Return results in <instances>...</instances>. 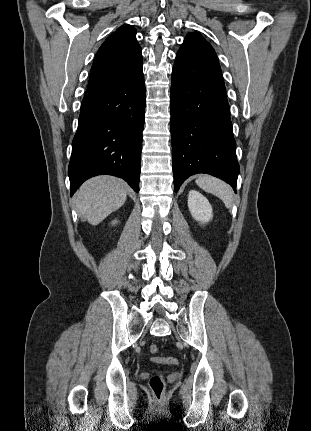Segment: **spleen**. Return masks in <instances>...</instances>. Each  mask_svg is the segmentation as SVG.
Returning a JSON list of instances; mask_svg holds the SVG:
<instances>
[{"mask_svg": "<svg viewBox=\"0 0 311 431\" xmlns=\"http://www.w3.org/2000/svg\"><path fill=\"white\" fill-rule=\"evenodd\" d=\"M197 186L208 192V194H214L218 196L222 202H224L226 208H231L233 202V192L232 188L222 182V180H217V178H212V176H199L196 180Z\"/></svg>", "mask_w": 311, "mask_h": 431, "instance_id": "3e777b00", "label": "spleen"}]
</instances>
